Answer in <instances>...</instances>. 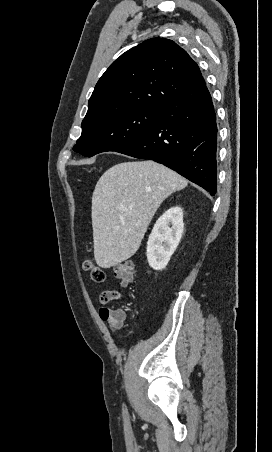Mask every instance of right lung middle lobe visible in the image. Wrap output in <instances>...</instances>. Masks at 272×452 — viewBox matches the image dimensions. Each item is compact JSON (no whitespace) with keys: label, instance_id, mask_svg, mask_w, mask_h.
Returning <instances> with one entry per match:
<instances>
[{"label":"right lung middle lobe","instance_id":"right-lung-middle-lobe-1","mask_svg":"<svg viewBox=\"0 0 272 452\" xmlns=\"http://www.w3.org/2000/svg\"><path fill=\"white\" fill-rule=\"evenodd\" d=\"M163 112L133 108L83 121L81 137L73 150L86 157L117 152L142 136Z\"/></svg>","mask_w":272,"mask_h":452}]
</instances>
